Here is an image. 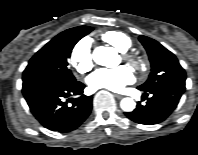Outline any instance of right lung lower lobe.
Returning <instances> with one entry per match:
<instances>
[{
  "instance_id": "obj_1",
  "label": "right lung lower lobe",
  "mask_w": 198,
  "mask_h": 155,
  "mask_svg": "<svg viewBox=\"0 0 198 155\" xmlns=\"http://www.w3.org/2000/svg\"><path fill=\"white\" fill-rule=\"evenodd\" d=\"M84 88L79 81L62 84L30 79L23 81L22 92L31 112L44 127L66 133L77 129L91 112L92 96L82 95ZM71 95L81 96L73 99L69 98Z\"/></svg>"
}]
</instances>
